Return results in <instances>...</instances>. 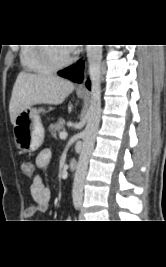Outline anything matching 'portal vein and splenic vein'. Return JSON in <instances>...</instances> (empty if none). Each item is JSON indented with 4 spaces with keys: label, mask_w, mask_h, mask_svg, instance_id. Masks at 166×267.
I'll return each mask as SVG.
<instances>
[{
    "label": "portal vein and splenic vein",
    "mask_w": 166,
    "mask_h": 267,
    "mask_svg": "<svg viewBox=\"0 0 166 267\" xmlns=\"http://www.w3.org/2000/svg\"><path fill=\"white\" fill-rule=\"evenodd\" d=\"M67 132H61L60 134H59V137H60V139H66L67 138Z\"/></svg>",
    "instance_id": "portal-vein-and-splenic-vein-1"
}]
</instances>
